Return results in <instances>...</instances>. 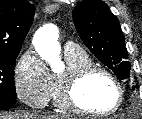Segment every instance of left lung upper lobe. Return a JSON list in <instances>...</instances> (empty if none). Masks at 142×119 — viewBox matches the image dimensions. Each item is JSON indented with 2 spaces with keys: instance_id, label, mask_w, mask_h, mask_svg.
Masks as SVG:
<instances>
[{
  "instance_id": "5c2ea615",
  "label": "left lung upper lobe",
  "mask_w": 142,
  "mask_h": 119,
  "mask_svg": "<svg viewBox=\"0 0 142 119\" xmlns=\"http://www.w3.org/2000/svg\"><path fill=\"white\" fill-rule=\"evenodd\" d=\"M77 32L89 50L119 79L130 76V63L117 17L101 0H84L73 10Z\"/></svg>"
}]
</instances>
